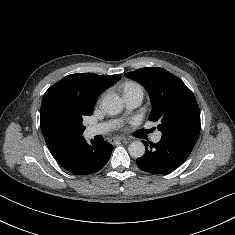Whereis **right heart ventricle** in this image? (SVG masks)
<instances>
[{
    "label": "right heart ventricle",
    "mask_w": 235,
    "mask_h": 235,
    "mask_svg": "<svg viewBox=\"0 0 235 235\" xmlns=\"http://www.w3.org/2000/svg\"><path fill=\"white\" fill-rule=\"evenodd\" d=\"M132 86H136V84H134V83H129V84H127V85L125 86V89H126V88H129V87H132Z\"/></svg>",
    "instance_id": "right-heart-ventricle-1"
}]
</instances>
